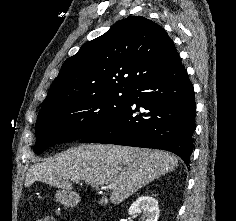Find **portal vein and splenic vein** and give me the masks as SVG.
I'll return each mask as SVG.
<instances>
[{
	"mask_svg": "<svg viewBox=\"0 0 236 221\" xmlns=\"http://www.w3.org/2000/svg\"><path fill=\"white\" fill-rule=\"evenodd\" d=\"M72 181H79V178H72L71 179ZM105 188H107L108 190H112V189H114L115 188V186L113 185V184H109V185H107Z\"/></svg>",
	"mask_w": 236,
	"mask_h": 221,
	"instance_id": "portal-vein-and-splenic-vein-1",
	"label": "portal vein and splenic vein"
}]
</instances>
